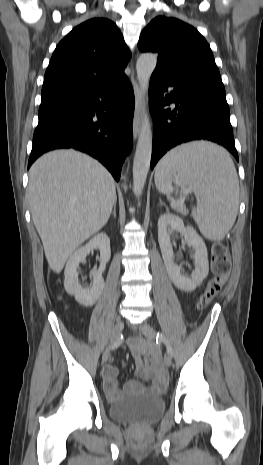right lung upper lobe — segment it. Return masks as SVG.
Listing matches in <instances>:
<instances>
[{
	"label": "right lung upper lobe",
	"instance_id": "right-lung-upper-lobe-1",
	"mask_svg": "<svg viewBox=\"0 0 263 465\" xmlns=\"http://www.w3.org/2000/svg\"><path fill=\"white\" fill-rule=\"evenodd\" d=\"M130 52L118 27L93 18L75 27L57 45L44 76L42 99L118 82Z\"/></svg>",
	"mask_w": 263,
	"mask_h": 465
}]
</instances>
